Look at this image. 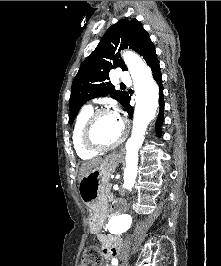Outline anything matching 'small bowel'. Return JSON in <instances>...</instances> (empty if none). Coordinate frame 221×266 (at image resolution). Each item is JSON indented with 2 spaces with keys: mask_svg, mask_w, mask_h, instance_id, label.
<instances>
[{
  "mask_svg": "<svg viewBox=\"0 0 221 266\" xmlns=\"http://www.w3.org/2000/svg\"><path fill=\"white\" fill-rule=\"evenodd\" d=\"M116 214H113L115 216ZM98 240L102 246V252L105 259H112L119 254L121 238L109 233L99 234Z\"/></svg>",
  "mask_w": 221,
  "mask_h": 266,
  "instance_id": "small-bowel-1",
  "label": "small bowel"
}]
</instances>
